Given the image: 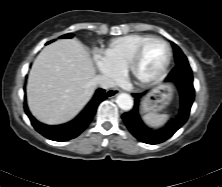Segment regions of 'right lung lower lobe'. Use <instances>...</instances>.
Segmentation results:
<instances>
[{"label":"right lung lower lobe","instance_id":"right-lung-lower-lobe-1","mask_svg":"<svg viewBox=\"0 0 222 187\" xmlns=\"http://www.w3.org/2000/svg\"><path fill=\"white\" fill-rule=\"evenodd\" d=\"M106 98L105 90L98 89L92 100L75 120L59 126H48L38 122L30 114L26 103L25 113L30 118L35 130L40 134L53 141H67L77 137L88 126L96 113L98 105Z\"/></svg>","mask_w":222,"mask_h":187}]
</instances>
